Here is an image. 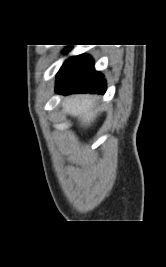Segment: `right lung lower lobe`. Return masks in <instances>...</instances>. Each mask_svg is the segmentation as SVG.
I'll return each mask as SVG.
<instances>
[{
	"label": "right lung lower lobe",
	"instance_id": "98d812e1",
	"mask_svg": "<svg viewBox=\"0 0 166 267\" xmlns=\"http://www.w3.org/2000/svg\"><path fill=\"white\" fill-rule=\"evenodd\" d=\"M56 78V93L58 94H104L106 91V81L103 75L94 69V61L87 54L66 60Z\"/></svg>",
	"mask_w": 166,
	"mask_h": 267
}]
</instances>
